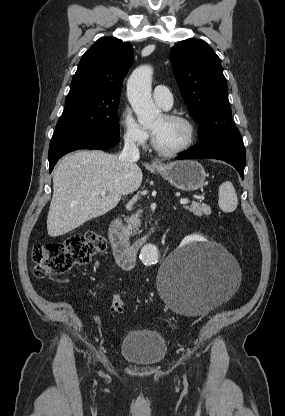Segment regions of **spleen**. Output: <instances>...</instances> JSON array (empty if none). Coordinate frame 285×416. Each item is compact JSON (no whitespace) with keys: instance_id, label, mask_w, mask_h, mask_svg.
Segmentation results:
<instances>
[{"instance_id":"obj_1","label":"spleen","mask_w":285,"mask_h":416,"mask_svg":"<svg viewBox=\"0 0 285 416\" xmlns=\"http://www.w3.org/2000/svg\"><path fill=\"white\" fill-rule=\"evenodd\" d=\"M218 206L222 212H234L238 206L237 194L231 182H224L219 188Z\"/></svg>"}]
</instances>
